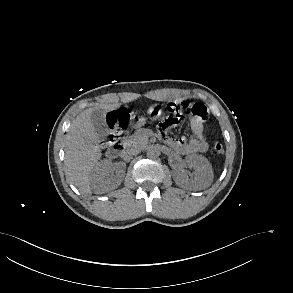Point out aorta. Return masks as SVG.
Masks as SVG:
<instances>
[{"instance_id": "obj_1", "label": "aorta", "mask_w": 293, "mask_h": 293, "mask_svg": "<svg viewBox=\"0 0 293 293\" xmlns=\"http://www.w3.org/2000/svg\"><path fill=\"white\" fill-rule=\"evenodd\" d=\"M159 156V151L154 148V147H151L147 150V157L150 158V159H155Z\"/></svg>"}]
</instances>
